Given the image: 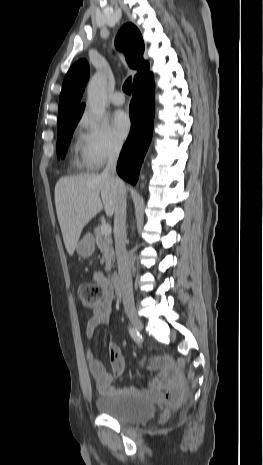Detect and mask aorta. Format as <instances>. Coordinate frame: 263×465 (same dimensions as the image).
<instances>
[{
    "label": "aorta",
    "instance_id": "aorta-1",
    "mask_svg": "<svg viewBox=\"0 0 263 465\" xmlns=\"http://www.w3.org/2000/svg\"><path fill=\"white\" fill-rule=\"evenodd\" d=\"M106 100V78L103 74L96 73L88 84L87 105L94 115L101 117L105 113Z\"/></svg>",
    "mask_w": 263,
    "mask_h": 465
}]
</instances>
